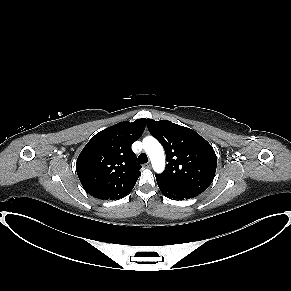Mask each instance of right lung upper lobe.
I'll return each mask as SVG.
<instances>
[{"instance_id": "right-lung-upper-lobe-1", "label": "right lung upper lobe", "mask_w": 291, "mask_h": 291, "mask_svg": "<svg viewBox=\"0 0 291 291\" xmlns=\"http://www.w3.org/2000/svg\"><path fill=\"white\" fill-rule=\"evenodd\" d=\"M145 126L144 118L119 122L91 138L76 163L77 175L87 193L98 199L117 200L133 189L141 166L131 145L141 137Z\"/></svg>"}]
</instances>
